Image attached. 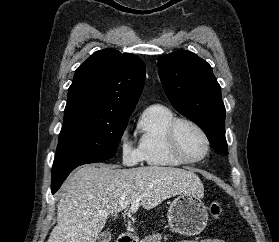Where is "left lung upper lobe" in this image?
<instances>
[{
  "label": "left lung upper lobe",
  "mask_w": 279,
  "mask_h": 242,
  "mask_svg": "<svg viewBox=\"0 0 279 242\" xmlns=\"http://www.w3.org/2000/svg\"><path fill=\"white\" fill-rule=\"evenodd\" d=\"M159 76L173 107L195 122L212 147L228 154L225 106L211 66L190 51H176L158 60Z\"/></svg>",
  "instance_id": "obj_1"
}]
</instances>
